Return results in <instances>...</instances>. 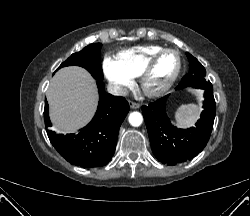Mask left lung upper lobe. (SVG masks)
<instances>
[{
	"label": "left lung upper lobe",
	"instance_id": "left-lung-upper-lobe-1",
	"mask_svg": "<svg viewBox=\"0 0 250 216\" xmlns=\"http://www.w3.org/2000/svg\"><path fill=\"white\" fill-rule=\"evenodd\" d=\"M188 60H189V73L186 74L181 82L178 85V89L185 88L187 86L192 85L193 87L198 88H213L210 81L205 79L206 77V70L202 66V64L193 57L190 53H186Z\"/></svg>",
	"mask_w": 250,
	"mask_h": 216
}]
</instances>
